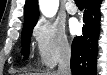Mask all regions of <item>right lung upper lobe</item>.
<instances>
[{"instance_id":"cb5924a9","label":"right lung upper lobe","mask_w":107,"mask_h":75,"mask_svg":"<svg viewBox=\"0 0 107 75\" xmlns=\"http://www.w3.org/2000/svg\"><path fill=\"white\" fill-rule=\"evenodd\" d=\"M39 17L37 0H26L24 6V24L36 23Z\"/></svg>"}]
</instances>
